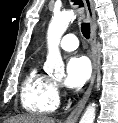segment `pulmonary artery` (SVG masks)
I'll list each match as a JSON object with an SVG mask.
<instances>
[{
    "label": "pulmonary artery",
    "mask_w": 118,
    "mask_h": 123,
    "mask_svg": "<svg viewBox=\"0 0 118 123\" xmlns=\"http://www.w3.org/2000/svg\"><path fill=\"white\" fill-rule=\"evenodd\" d=\"M78 45V38L74 34H67L60 41V47L65 51H73Z\"/></svg>",
    "instance_id": "e3ab8cb5"
}]
</instances>
